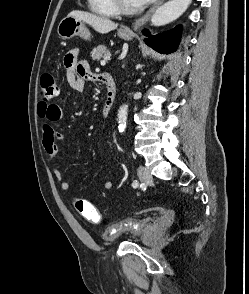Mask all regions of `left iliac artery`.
<instances>
[{
  "label": "left iliac artery",
  "mask_w": 249,
  "mask_h": 294,
  "mask_svg": "<svg viewBox=\"0 0 249 294\" xmlns=\"http://www.w3.org/2000/svg\"><path fill=\"white\" fill-rule=\"evenodd\" d=\"M132 186L135 188L138 186V182L137 181H133Z\"/></svg>",
  "instance_id": "1"
}]
</instances>
